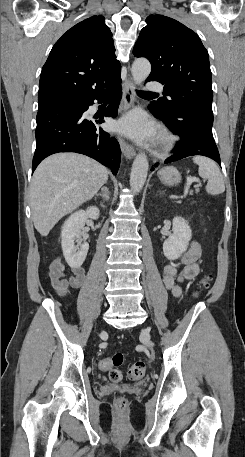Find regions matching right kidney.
I'll use <instances>...</instances> for the list:
<instances>
[{
	"label": "right kidney",
	"instance_id": "ca27d5eb",
	"mask_svg": "<svg viewBox=\"0 0 245 457\" xmlns=\"http://www.w3.org/2000/svg\"><path fill=\"white\" fill-rule=\"evenodd\" d=\"M99 214L100 210L97 206H88L87 210H77L65 220L62 226L61 245L71 269H78L83 265L89 245L88 243H83L82 239H80L81 231L88 218L96 220V218H99ZM74 241H76L77 245H75Z\"/></svg>",
	"mask_w": 245,
	"mask_h": 457
}]
</instances>
